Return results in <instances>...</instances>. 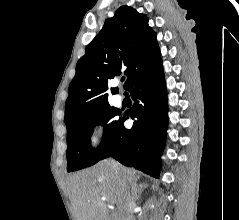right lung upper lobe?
Returning <instances> with one entry per match:
<instances>
[{"instance_id": "obj_1", "label": "right lung upper lobe", "mask_w": 239, "mask_h": 220, "mask_svg": "<svg viewBox=\"0 0 239 220\" xmlns=\"http://www.w3.org/2000/svg\"><path fill=\"white\" fill-rule=\"evenodd\" d=\"M160 56L156 34L146 15L129 6L118 8L76 65L65 104L67 128L81 116L109 105V79L124 72L127 89L136 77L160 62Z\"/></svg>"}]
</instances>
